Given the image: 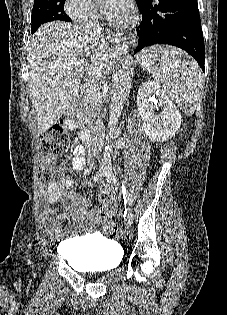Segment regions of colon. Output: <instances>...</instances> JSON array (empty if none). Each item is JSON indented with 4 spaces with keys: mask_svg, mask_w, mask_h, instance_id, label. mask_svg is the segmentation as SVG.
Returning <instances> with one entry per match:
<instances>
[{
    "mask_svg": "<svg viewBox=\"0 0 227 315\" xmlns=\"http://www.w3.org/2000/svg\"><path fill=\"white\" fill-rule=\"evenodd\" d=\"M67 142V130L61 123H56L49 127L41 137L40 150L42 163L40 167V179L43 183H49L58 178L59 173L56 167L57 160L64 154ZM109 199L107 193L100 195L102 205L99 208L100 219L104 221V233L109 237H122L124 232L116 222L106 221Z\"/></svg>",
    "mask_w": 227,
    "mask_h": 315,
    "instance_id": "1",
    "label": "colon"
}]
</instances>
